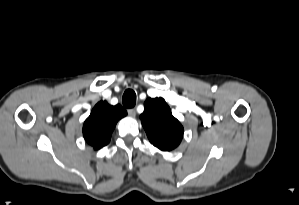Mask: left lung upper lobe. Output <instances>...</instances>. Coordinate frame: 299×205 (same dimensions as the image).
I'll list each match as a JSON object with an SVG mask.
<instances>
[{
    "mask_svg": "<svg viewBox=\"0 0 299 205\" xmlns=\"http://www.w3.org/2000/svg\"><path fill=\"white\" fill-rule=\"evenodd\" d=\"M141 114L142 125L149 141L162 151L176 148L183 137V127L173 117L170 107L163 98H148Z\"/></svg>",
    "mask_w": 299,
    "mask_h": 205,
    "instance_id": "5c2ea615",
    "label": "left lung upper lobe"
}]
</instances>
